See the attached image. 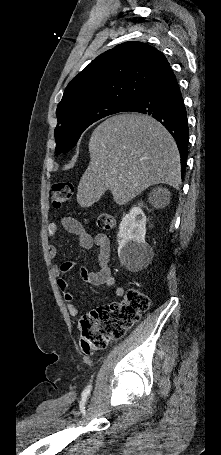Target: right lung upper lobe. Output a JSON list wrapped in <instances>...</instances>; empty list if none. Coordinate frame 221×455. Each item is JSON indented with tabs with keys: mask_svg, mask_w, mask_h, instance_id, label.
Listing matches in <instances>:
<instances>
[{
	"mask_svg": "<svg viewBox=\"0 0 221 455\" xmlns=\"http://www.w3.org/2000/svg\"><path fill=\"white\" fill-rule=\"evenodd\" d=\"M166 63L160 51L142 42H125L104 52L68 84L57 118L104 101L130 105Z\"/></svg>",
	"mask_w": 221,
	"mask_h": 455,
	"instance_id": "right-lung-upper-lobe-1",
	"label": "right lung upper lobe"
}]
</instances>
